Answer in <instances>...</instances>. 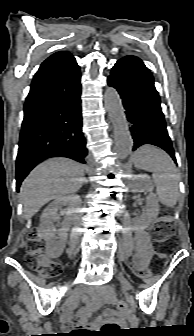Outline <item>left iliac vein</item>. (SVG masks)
Returning a JSON list of instances; mask_svg holds the SVG:
<instances>
[{"instance_id":"left-iliac-vein-1","label":"left iliac vein","mask_w":194,"mask_h":336,"mask_svg":"<svg viewBox=\"0 0 194 336\" xmlns=\"http://www.w3.org/2000/svg\"><path fill=\"white\" fill-rule=\"evenodd\" d=\"M117 278L126 289H132L131 283L122 274H118Z\"/></svg>"}]
</instances>
